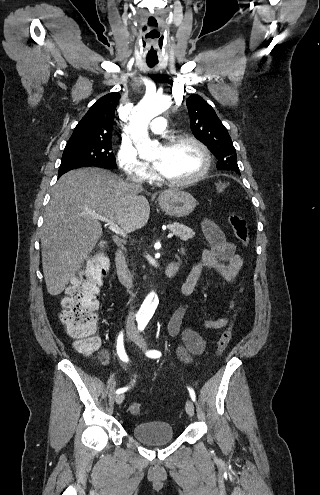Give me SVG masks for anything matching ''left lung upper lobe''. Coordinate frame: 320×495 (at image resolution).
<instances>
[{"label":"left lung upper lobe","instance_id":"1","mask_svg":"<svg viewBox=\"0 0 320 495\" xmlns=\"http://www.w3.org/2000/svg\"><path fill=\"white\" fill-rule=\"evenodd\" d=\"M190 127L195 137L217 157V169L239 173L236 150L227 129L213 108L200 96L192 94L186 101Z\"/></svg>","mask_w":320,"mask_h":495}]
</instances>
